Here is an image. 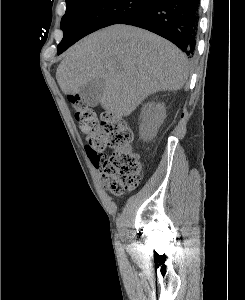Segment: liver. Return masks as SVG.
<instances>
[{
	"instance_id": "obj_1",
	"label": "liver",
	"mask_w": 245,
	"mask_h": 300,
	"mask_svg": "<svg viewBox=\"0 0 245 300\" xmlns=\"http://www.w3.org/2000/svg\"><path fill=\"white\" fill-rule=\"evenodd\" d=\"M189 75L188 60L171 42L147 30L116 24L85 37L65 54L56 71L65 95L103 79L100 104L130 115L149 95L177 91Z\"/></svg>"
}]
</instances>
